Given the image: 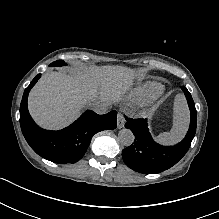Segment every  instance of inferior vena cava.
Returning <instances> with one entry per match:
<instances>
[{"instance_id": "602c4592", "label": "inferior vena cava", "mask_w": 219, "mask_h": 219, "mask_svg": "<svg viewBox=\"0 0 219 219\" xmlns=\"http://www.w3.org/2000/svg\"><path fill=\"white\" fill-rule=\"evenodd\" d=\"M111 106V101H94L89 105V108L97 113H106Z\"/></svg>"}]
</instances>
